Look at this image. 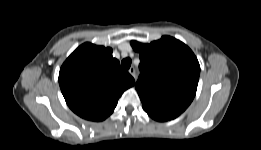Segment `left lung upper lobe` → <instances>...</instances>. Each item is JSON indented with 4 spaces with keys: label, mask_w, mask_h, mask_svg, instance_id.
Instances as JSON below:
<instances>
[{
    "label": "left lung upper lobe",
    "mask_w": 261,
    "mask_h": 150,
    "mask_svg": "<svg viewBox=\"0 0 261 150\" xmlns=\"http://www.w3.org/2000/svg\"><path fill=\"white\" fill-rule=\"evenodd\" d=\"M140 53L135 85L143 109L168 118L179 116L192 102L200 75L199 62L183 42L163 36L150 44L131 41Z\"/></svg>",
    "instance_id": "5c2ea615"
}]
</instances>
